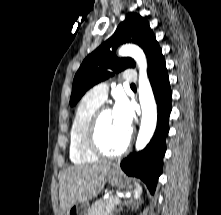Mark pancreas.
<instances>
[{
    "instance_id": "obj_1",
    "label": "pancreas",
    "mask_w": 221,
    "mask_h": 215,
    "mask_svg": "<svg viewBox=\"0 0 221 215\" xmlns=\"http://www.w3.org/2000/svg\"><path fill=\"white\" fill-rule=\"evenodd\" d=\"M116 196H110L107 199H100L95 201L89 208L88 215H113L115 208L114 200Z\"/></svg>"
}]
</instances>
